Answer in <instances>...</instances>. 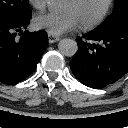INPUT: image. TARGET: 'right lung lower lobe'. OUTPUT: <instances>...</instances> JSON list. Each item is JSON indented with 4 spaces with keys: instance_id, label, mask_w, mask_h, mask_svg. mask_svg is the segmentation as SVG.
I'll list each match as a JSON object with an SVG mask.
<instances>
[{
    "instance_id": "1",
    "label": "right lung lower lobe",
    "mask_w": 128,
    "mask_h": 128,
    "mask_svg": "<svg viewBox=\"0 0 128 128\" xmlns=\"http://www.w3.org/2000/svg\"><path fill=\"white\" fill-rule=\"evenodd\" d=\"M29 20L21 23L0 22V82L11 84L24 80L36 69L47 47L44 31L29 33ZM22 34L20 39L17 34Z\"/></svg>"
}]
</instances>
